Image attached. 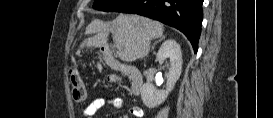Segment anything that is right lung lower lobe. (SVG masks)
Wrapping results in <instances>:
<instances>
[{"label": "right lung lower lobe", "instance_id": "obj_1", "mask_svg": "<svg viewBox=\"0 0 273 118\" xmlns=\"http://www.w3.org/2000/svg\"><path fill=\"white\" fill-rule=\"evenodd\" d=\"M202 3L203 0H131L116 12L146 16L175 27L186 35L197 52Z\"/></svg>", "mask_w": 273, "mask_h": 118}]
</instances>
